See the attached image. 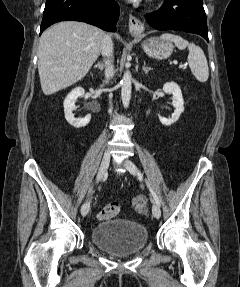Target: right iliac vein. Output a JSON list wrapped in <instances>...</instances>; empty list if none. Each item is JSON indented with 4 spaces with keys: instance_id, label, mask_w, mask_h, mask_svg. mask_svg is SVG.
Listing matches in <instances>:
<instances>
[{
    "instance_id": "obj_1",
    "label": "right iliac vein",
    "mask_w": 240,
    "mask_h": 287,
    "mask_svg": "<svg viewBox=\"0 0 240 287\" xmlns=\"http://www.w3.org/2000/svg\"><path fill=\"white\" fill-rule=\"evenodd\" d=\"M109 163H110V155L108 152L104 153L103 158H102V162L97 174V180L100 181L103 176L105 175L108 167H109ZM90 210V203L89 201H86L82 207H81V214L82 216H86L88 214Z\"/></svg>"
}]
</instances>
